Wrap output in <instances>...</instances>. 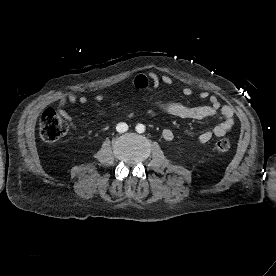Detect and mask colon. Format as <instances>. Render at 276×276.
Wrapping results in <instances>:
<instances>
[{
    "mask_svg": "<svg viewBox=\"0 0 276 276\" xmlns=\"http://www.w3.org/2000/svg\"><path fill=\"white\" fill-rule=\"evenodd\" d=\"M68 131V124L58 112L52 108H46L40 118L39 132L41 138L45 142H56L66 135ZM213 149L216 152H226L230 149V141L226 138H221L215 141Z\"/></svg>",
    "mask_w": 276,
    "mask_h": 276,
    "instance_id": "colon-1",
    "label": "colon"
}]
</instances>
